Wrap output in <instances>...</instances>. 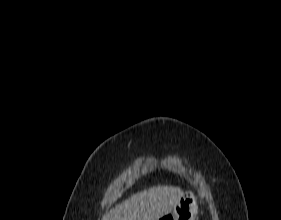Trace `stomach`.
Instances as JSON below:
<instances>
[{"mask_svg":"<svg viewBox=\"0 0 281 220\" xmlns=\"http://www.w3.org/2000/svg\"><path fill=\"white\" fill-rule=\"evenodd\" d=\"M198 212L196 198L191 192L183 193L178 204L171 214H167L161 220H195Z\"/></svg>","mask_w":281,"mask_h":220,"instance_id":"0dacf381","label":"stomach"}]
</instances>
